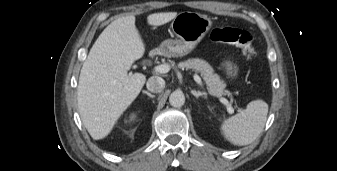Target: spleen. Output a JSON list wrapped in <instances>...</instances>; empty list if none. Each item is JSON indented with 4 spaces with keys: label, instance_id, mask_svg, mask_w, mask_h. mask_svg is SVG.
<instances>
[{
    "label": "spleen",
    "instance_id": "obj_1",
    "mask_svg": "<svg viewBox=\"0 0 337 171\" xmlns=\"http://www.w3.org/2000/svg\"><path fill=\"white\" fill-rule=\"evenodd\" d=\"M267 114L268 104L266 102L260 99L251 101L243 113L223 121L221 133L233 145H249L263 131Z\"/></svg>",
    "mask_w": 337,
    "mask_h": 171
}]
</instances>
